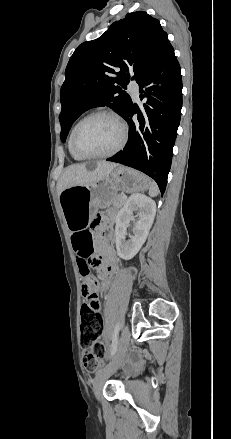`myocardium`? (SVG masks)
<instances>
[{"label":"myocardium","instance_id":"myocardium-1","mask_svg":"<svg viewBox=\"0 0 231 439\" xmlns=\"http://www.w3.org/2000/svg\"><path fill=\"white\" fill-rule=\"evenodd\" d=\"M100 116H104V117H108V118L112 119L119 126L120 140H119L118 144L108 152L101 153V154L84 153V152L80 151L76 146V141H75L76 133H77L78 129L81 127V125L84 124L86 121H88L92 118H95V117H100ZM126 141H127V127H126L125 123L122 121V119L116 113H114L110 110H98V111H94V112L86 115L85 117L80 119L75 124V126L73 127L71 134H70L71 149L78 156H80L83 159H104V158L112 157L123 149V147L126 144Z\"/></svg>","mask_w":231,"mask_h":439}]
</instances>
